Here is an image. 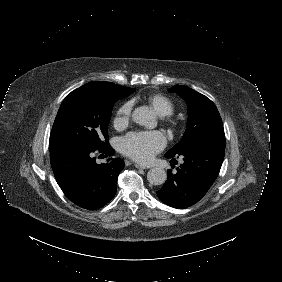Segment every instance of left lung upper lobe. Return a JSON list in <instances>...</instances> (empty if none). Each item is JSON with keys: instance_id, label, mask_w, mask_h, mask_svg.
I'll use <instances>...</instances> for the list:
<instances>
[{"instance_id": "obj_1", "label": "left lung upper lobe", "mask_w": 282, "mask_h": 282, "mask_svg": "<svg viewBox=\"0 0 282 282\" xmlns=\"http://www.w3.org/2000/svg\"><path fill=\"white\" fill-rule=\"evenodd\" d=\"M170 91L176 92L186 101L188 120L182 139L167 155L175 156L202 140L225 138L220 114L210 99L183 85L174 86Z\"/></svg>"}]
</instances>
